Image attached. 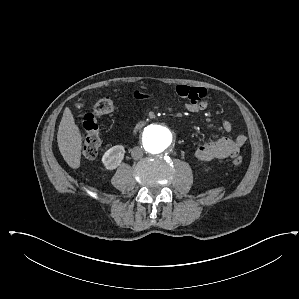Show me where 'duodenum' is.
Instances as JSON below:
<instances>
[{
    "label": "duodenum",
    "mask_w": 299,
    "mask_h": 299,
    "mask_svg": "<svg viewBox=\"0 0 299 299\" xmlns=\"http://www.w3.org/2000/svg\"><path fill=\"white\" fill-rule=\"evenodd\" d=\"M147 120L146 119H142L140 120L136 126H135V132H137L138 130H140L145 124H146Z\"/></svg>",
    "instance_id": "obj_1"
}]
</instances>
